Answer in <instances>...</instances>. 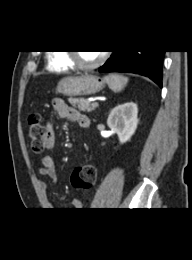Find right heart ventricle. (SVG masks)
I'll return each mask as SVG.
<instances>
[{
  "instance_id": "1",
  "label": "right heart ventricle",
  "mask_w": 192,
  "mask_h": 260,
  "mask_svg": "<svg viewBox=\"0 0 192 260\" xmlns=\"http://www.w3.org/2000/svg\"><path fill=\"white\" fill-rule=\"evenodd\" d=\"M74 66L70 63L65 52L57 51L48 56V69L53 72H67Z\"/></svg>"
}]
</instances>
